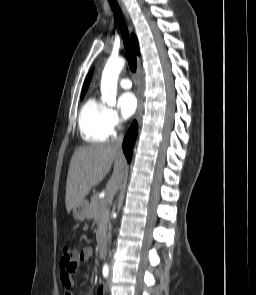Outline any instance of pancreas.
<instances>
[{"label":"pancreas","instance_id":"pancreas-1","mask_svg":"<svg viewBox=\"0 0 256 295\" xmlns=\"http://www.w3.org/2000/svg\"><path fill=\"white\" fill-rule=\"evenodd\" d=\"M88 218H93L94 222L98 225L96 231V238L99 240L101 234L106 230L109 220L108 202L103 200L94 199L88 206Z\"/></svg>","mask_w":256,"mask_h":295}]
</instances>
